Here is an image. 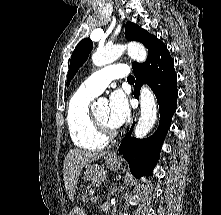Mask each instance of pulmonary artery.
<instances>
[{
	"label": "pulmonary artery",
	"instance_id": "pulmonary-artery-1",
	"mask_svg": "<svg viewBox=\"0 0 221 215\" xmlns=\"http://www.w3.org/2000/svg\"><path fill=\"white\" fill-rule=\"evenodd\" d=\"M129 75V68L124 64L107 66L88 77L80 86L83 92L97 96L106 86L115 79Z\"/></svg>",
	"mask_w": 221,
	"mask_h": 215
}]
</instances>
